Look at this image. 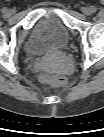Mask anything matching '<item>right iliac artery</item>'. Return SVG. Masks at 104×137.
<instances>
[{"label": "right iliac artery", "instance_id": "obj_1", "mask_svg": "<svg viewBox=\"0 0 104 137\" xmlns=\"http://www.w3.org/2000/svg\"><path fill=\"white\" fill-rule=\"evenodd\" d=\"M3 12H4V13H7V9H4Z\"/></svg>", "mask_w": 104, "mask_h": 137}]
</instances>
